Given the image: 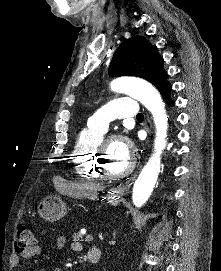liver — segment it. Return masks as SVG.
Here are the masks:
<instances>
[{"label": "liver", "instance_id": "6515ba94", "mask_svg": "<svg viewBox=\"0 0 221 271\" xmlns=\"http://www.w3.org/2000/svg\"><path fill=\"white\" fill-rule=\"evenodd\" d=\"M97 189H103V185L83 181V183H68L66 193L70 197H91Z\"/></svg>", "mask_w": 221, "mask_h": 271}]
</instances>
